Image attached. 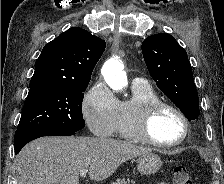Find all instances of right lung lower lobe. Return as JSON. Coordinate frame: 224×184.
Masks as SVG:
<instances>
[{
	"mask_svg": "<svg viewBox=\"0 0 224 184\" xmlns=\"http://www.w3.org/2000/svg\"><path fill=\"white\" fill-rule=\"evenodd\" d=\"M75 133L76 132H68V131H46V132H41V133H36V134L30 135V136L24 138L18 144L14 145L15 154H18L25 144H27L28 142H30V141H32L34 139H37L39 137H42V136H52V135L69 136V135H75Z\"/></svg>",
	"mask_w": 224,
	"mask_h": 184,
	"instance_id": "obj_1",
	"label": "right lung lower lobe"
}]
</instances>
